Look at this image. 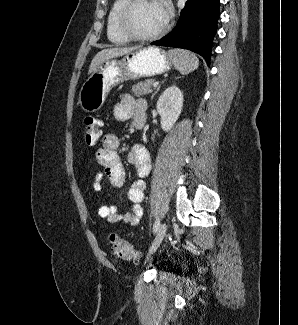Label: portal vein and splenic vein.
<instances>
[{"mask_svg":"<svg viewBox=\"0 0 298 325\" xmlns=\"http://www.w3.org/2000/svg\"><path fill=\"white\" fill-rule=\"evenodd\" d=\"M159 82H152L151 86H158Z\"/></svg>","mask_w":298,"mask_h":325,"instance_id":"18ae733b","label":"portal vein and splenic vein"}]
</instances>
